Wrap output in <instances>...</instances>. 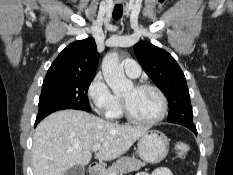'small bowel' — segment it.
Here are the masks:
<instances>
[{
  "instance_id": "1",
  "label": "small bowel",
  "mask_w": 233,
  "mask_h": 175,
  "mask_svg": "<svg viewBox=\"0 0 233 175\" xmlns=\"http://www.w3.org/2000/svg\"><path fill=\"white\" fill-rule=\"evenodd\" d=\"M136 175H173L172 171L166 167H160L149 173L146 171H140Z\"/></svg>"
}]
</instances>
